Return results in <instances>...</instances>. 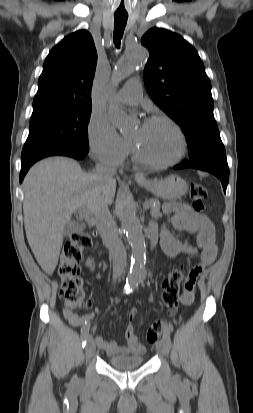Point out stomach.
Masks as SVG:
<instances>
[{"label":"stomach","mask_w":253,"mask_h":413,"mask_svg":"<svg viewBox=\"0 0 253 413\" xmlns=\"http://www.w3.org/2000/svg\"><path fill=\"white\" fill-rule=\"evenodd\" d=\"M139 184L149 192L163 200L180 199L187 192V183L178 176H168L165 179L141 181Z\"/></svg>","instance_id":"1"}]
</instances>
